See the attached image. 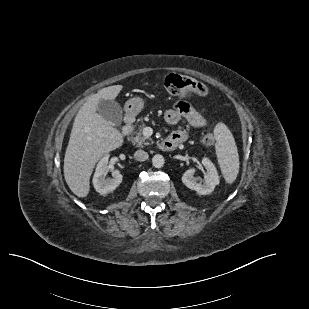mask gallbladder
Masks as SVG:
<instances>
[{"label": "gallbladder", "mask_w": 309, "mask_h": 309, "mask_svg": "<svg viewBox=\"0 0 309 309\" xmlns=\"http://www.w3.org/2000/svg\"><path fill=\"white\" fill-rule=\"evenodd\" d=\"M97 112L113 126H119L122 121V109L114 100L101 99L98 103Z\"/></svg>", "instance_id": "bac80fb5"}]
</instances>
